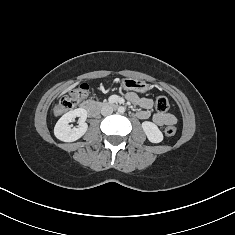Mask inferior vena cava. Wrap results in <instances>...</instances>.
I'll use <instances>...</instances> for the list:
<instances>
[{
	"label": "inferior vena cava",
	"instance_id": "inferior-vena-cava-1",
	"mask_svg": "<svg viewBox=\"0 0 235 235\" xmlns=\"http://www.w3.org/2000/svg\"><path fill=\"white\" fill-rule=\"evenodd\" d=\"M113 113V107L111 105H104L102 108H101V114L103 116H108V115H111Z\"/></svg>",
	"mask_w": 235,
	"mask_h": 235
}]
</instances>
